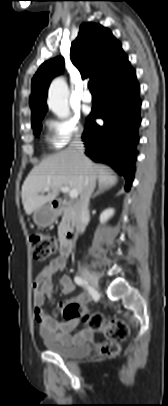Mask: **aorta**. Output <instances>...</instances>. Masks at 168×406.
Here are the masks:
<instances>
[{"label": "aorta", "instance_id": "762f6f07", "mask_svg": "<svg viewBox=\"0 0 168 406\" xmlns=\"http://www.w3.org/2000/svg\"><path fill=\"white\" fill-rule=\"evenodd\" d=\"M69 90L63 77L55 78L49 87L47 104L59 118H67L70 114L68 105Z\"/></svg>", "mask_w": 168, "mask_h": 406}]
</instances>
